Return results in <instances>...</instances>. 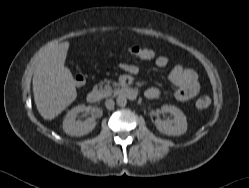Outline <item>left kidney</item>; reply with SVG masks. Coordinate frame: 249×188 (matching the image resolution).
Here are the masks:
<instances>
[{"instance_id":"obj_1","label":"left kidney","mask_w":249,"mask_h":188,"mask_svg":"<svg viewBox=\"0 0 249 188\" xmlns=\"http://www.w3.org/2000/svg\"><path fill=\"white\" fill-rule=\"evenodd\" d=\"M161 112L171 113L172 120L163 121L159 118L155 120V126L158 131L169 136H179L187 131V119L184 113L177 107L171 105H163Z\"/></svg>"}]
</instances>
